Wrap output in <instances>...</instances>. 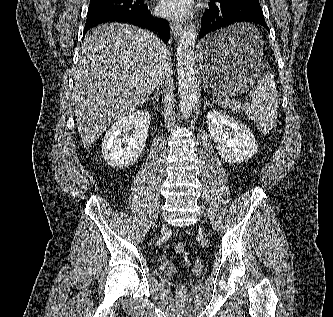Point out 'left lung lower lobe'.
I'll use <instances>...</instances> for the list:
<instances>
[{
    "instance_id": "left-lung-lower-lobe-1",
    "label": "left lung lower lobe",
    "mask_w": 333,
    "mask_h": 317,
    "mask_svg": "<svg viewBox=\"0 0 333 317\" xmlns=\"http://www.w3.org/2000/svg\"><path fill=\"white\" fill-rule=\"evenodd\" d=\"M239 22L259 24L269 31L259 1L215 0L209 3V8L205 10L202 17L199 38ZM211 51L221 52L219 48H212Z\"/></svg>"
}]
</instances>
